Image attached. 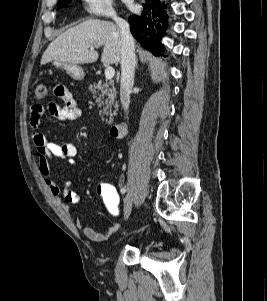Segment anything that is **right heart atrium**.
<instances>
[{
  "label": "right heart atrium",
  "instance_id": "1",
  "mask_svg": "<svg viewBox=\"0 0 267 301\" xmlns=\"http://www.w3.org/2000/svg\"><path fill=\"white\" fill-rule=\"evenodd\" d=\"M85 10L94 16L114 17L112 0H82Z\"/></svg>",
  "mask_w": 267,
  "mask_h": 301
}]
</instances>
